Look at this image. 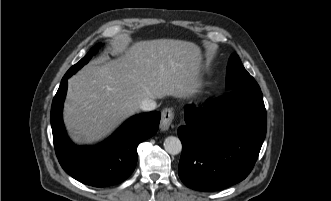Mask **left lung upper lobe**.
<instances>
[{
  "label": "left lung upper lobe",
  "mask_w": 331,
  "mask_h": 201,
  "mask_svg": "<svg viewBox=\"0 0 331 201\" xmlns=\"http://www.w3.org/2000/svg\"><path fill=\"white\" fill-rule=\"evenodd\" d=\"M258 87L257 82L243 67L238 55L236 53L232 54L227 66L226 88L232 91Z\"/></svg>",
  "instance_id": "1"
}]
</instances>
